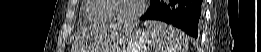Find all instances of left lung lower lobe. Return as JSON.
I'll use <instances>...</instances> for the list:
<instances>
[{
  "label": "left lung lower lobe",
  "instance_id": "1",
  "mask_svg": "<svg viewBox=\"0 0 261 52\" xmlns=\"http://www.w3.org/2000/svg\"><path fill=\"white\" fill-rule=\"evenodd\" d=\"M203 0H152L141 20H160L197 39L202 22Z\"/></svg>",
  "mask_w": 261,
  "mask_h": 52
}]
</instances>
